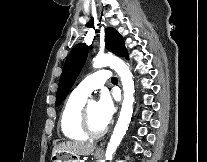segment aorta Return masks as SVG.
Masks as SVG:
<instances>
[{
  "label": "aorta",
  "instance_id": "1",
  "mask_svg": "<svg viewBox=\"0 0 207 162\" xmlns=\"http://www.w3.org/2000/svg\"><path fill=\"white\" fill-rule=\"evenodd\" d=\"M110 66L119 75L123 86V102L117 124L108 143L105 159L111 160L118 145L122 141L131 121L134 102V81L129 67L120 58L111 54H98L93 59L94 68Z\"/></svg>",
  "mask_w": 207,
  "mask_h": 162
}]
</instances>
